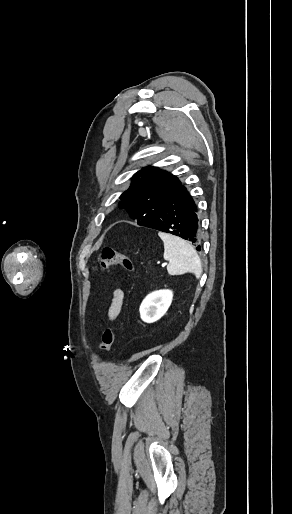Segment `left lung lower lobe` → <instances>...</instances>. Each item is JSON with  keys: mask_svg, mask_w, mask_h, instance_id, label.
I'll list each match as a JSON object with an SVG mask.
<instances>
[{"mask_svg": "<svg viewBox=\"0 0 292 514\" xmlns=\"http://www.w3.org/2000/svg\"><path fill=\"white\" fill-rule=\"evenodd\" d=\"M145 227L179 236L200 251V219L197 206L184 185L164 205L160 214Z\"/></svg>", "mask_w": 292, "mask_h": 514, "instance_id": "1", "label": "left lung lower lobe"}]
</instances>
